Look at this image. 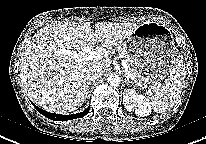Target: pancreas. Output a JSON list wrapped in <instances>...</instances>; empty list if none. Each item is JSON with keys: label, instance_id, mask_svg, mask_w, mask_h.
<instances>
[{"label": "pancreas", "instance_id": "1", "mask_svg": "<svg viewBox=\"0 0 206 144\" xmlns=\"http://www.w3.org/2000/svg\"><path fill=\"white\" fill-rule=\"evenodd\" d=\"M116 49L119 55L125 59V61L129 64L130 71L134 74L135 78L137 77V72L133 65V60L131 56L128 54L126 46L123 43H120L116 46Z\"/></svg>", "mask_w": 206, "mask_h": 144}]
</instances>
